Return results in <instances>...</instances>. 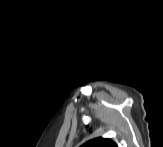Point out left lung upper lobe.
Returning a JSON list of instances; mask_svg holds the SVG:
<instances>
[{
    "mask_svg": "<svg viewBox=\"0 0 163 147\" xmlns=\"http://www.w3.org/2000/svg\"><path fill=\"white\" fill-rule=\"evenodd\" d=\"M82 147H117V145L110 139L100 137L86 142Z\"/></svg>",
    "mask_w": 163,
    "mask_h": 147,
    "instance_id": "5c2ea615",
    "label": "left lung upper lobe"
}]
</instances>
